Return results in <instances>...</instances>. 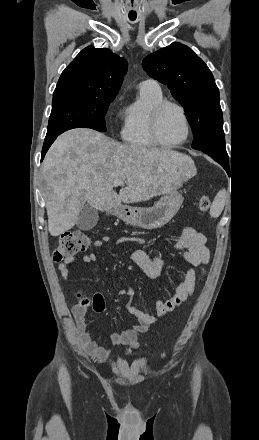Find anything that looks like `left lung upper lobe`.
Instances as JSON below:
<instances>
[{
	"mask_svg": "<svg viewBox=\"0 0 259 440\" xmlns=\"http://www.w3.org/2000/svg\"><path fill=\"white\" fill-rule=\"evenodd\" d=\"M142 66L183 106L194 135L192 148L225 149L219 90L204 61L189 47L172 43L148 55Z\"/></svg>",
	"mask_w": 259,
	"mask_h": 440,
	"instance_id": "5c2ea615",
	"label": "left lung upper lobe"
}]
</instances>
